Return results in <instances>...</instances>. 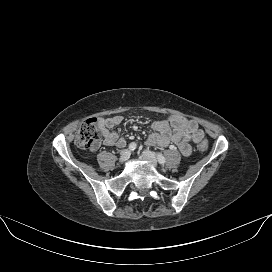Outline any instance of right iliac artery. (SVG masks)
<instances>
[{
    "mask_svg": "<svg viewBox=\"0 0 272 272\" xmlns=\"http://www.w3.org/2000/svg\"><path fill=\"white\" fill-rule=\"evenodd\" d=\"M136 148H137V144L135 142H132V143L129 144V149L131 151H134Z\"/></svg>",
    "mask_w": 272,
    "mask_h": 272,
    "instance_id": "82829eb1",
    "label": "right iliac artery"
}]
</instances>
